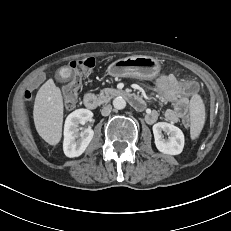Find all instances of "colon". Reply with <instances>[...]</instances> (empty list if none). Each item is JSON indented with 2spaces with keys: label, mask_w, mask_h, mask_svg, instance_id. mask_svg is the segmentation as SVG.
<instances>
[{
  "label": "colon",
  "mask_w": 231,
  "mask_h": 231,
  "mask_svg": "<svg viewBox=\"0 0 231 231\" xmlns=\"http://www.w3.org/2000/svg\"><path fill=\"white\" fill-rule=\"evenodd\" d=\"M70 66L74 69H78L84 74L89 73L95 66V59L94 58H84L80 60L72 61ZM49 72L44 70L41 75L37 76L36 81L32 82L28 89L25 90L24 95L27 98L32 97L33 92L39 89V87L45 83L46 78L48 77ZM80 88V81L79 79L75 78L68 82L62 89L64 103L67 107H72L77 99L78 92ZM183 92L187 95H192L197 90V85L194 81H188L182 84ZM183 123L185 125H189L190 121L188 118H185Z\"/></svg>",
  "instance_id": "1"
}]
</instances>
